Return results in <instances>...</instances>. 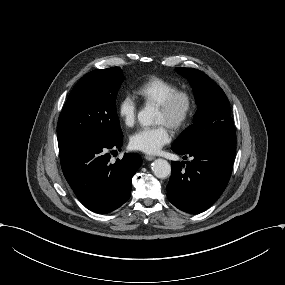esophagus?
Wrapping results in <instances>:
<instances>
[{
    "label": "esophagus",
    "instance_id": "esophagus-1",
    "mask_svg": "<svg viewBox=\"0 0 285 285\" xmlns=\"http://www.w3.org/2000/svg\"><path fill=\"white\" fill-rule=\"evenodd\" d=\"M147 161H152V160H154L155 159V157L154 156H152V155H145V157H144Z\"/></svg>",
    "mask_w": 285,
    "mask_h": 285
}]
</instances>
